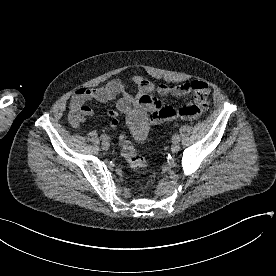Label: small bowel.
Returning <instances> with one entry per match:
<instances>
[{
    "instance_id": "1",
    "label": "small bowel",
    "mask_w": 276,
    "mask_h": 276,
    "mask_svg": "<svg viewBox=\"0 0 276 276\" xmlns=\"http://www.w3.org/2000/svg\"><path fill=\"white\" fill-rule=\"evenodd\" d=\"M136 92L131 93L127 84L120 79H112L107 83L78 89L70 101V117L74 126L84 122L86 117L94 115V110L88 103L91 101L108 102L119 96L116 108L108 111L109 125L117 127L122 114H132L140 111L149 116L150 123H159L176 118L194 119L200 116L209 105V85L201 80L188 81L180 85L159 84L136 75L132 78ZM157 92L162 97L171 96L177 99L188 95L194 96V101L181 107L164 105L153 96Z\"/></svg>"
}]
</instances>
